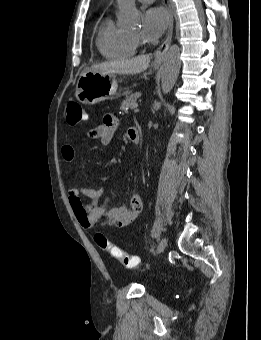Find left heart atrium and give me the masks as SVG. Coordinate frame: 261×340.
Returning <instances> with one entry per match:
<instances>
[{"instance_id": "left-heart-atrium-1", "label": "left heart atrium", "mask_w": 261, "mask_h": 340, "mask_svg": "<svg viewBox=\"0 0 261 340\" xmlns=\"http://www.w3.org/2000/svg\"><path fill=\"white\" fill-rule=\"evenodd\" d=\"M170 23L168 11L155 6L147 9L142 17V36L145 40L154 42L164 33Z\"/></svg>"}]
</instances>
